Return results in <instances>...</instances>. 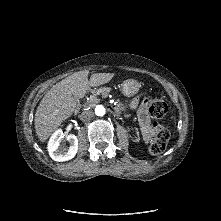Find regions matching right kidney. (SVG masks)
<instances>
[{"label": "right kidney", "mask_w": 221, "mask_h": 221, "mask_svg": "<svg viewBox=\"0 0 221 221\" xmlns=\"http://www.w3.org/2000/svg\"><path fill=\"white\" fill-rule=\"evenodd\" d=\"M64 138L69 141V147L65 146L63 143ZM78 150V139L75 135L70 134L65 137L62 130L56 131L49 143H48V151L50 157L54 161L62 162L68 161L74 158Z\"/></svg>", "instance_id": "right-kidney-1"}]
</instances>
